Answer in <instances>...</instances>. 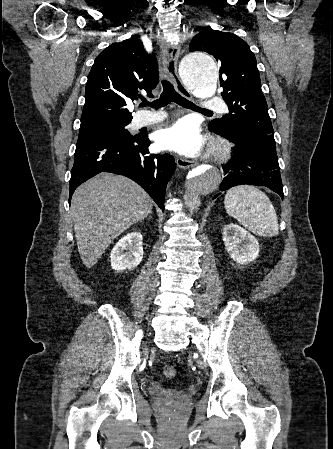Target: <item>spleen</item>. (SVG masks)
I'll list each match as a JSON object with an SVG mask.
<instances>
[{"label": "spleen", "instance_id": "3e777b00", "mask_svg": "<svg viewBox=\"0 0 333 449\" xmlns=\"http://www.w3.org/2000/svg\"><path fill=\"white\" fill-rule=\"evenodd\" d=\"M226 212L251 232L262 236H276L279 231L275 209L267 195L251 185L231 188L225 195Z\"/></svg>", "mask_w": 333, "mask_h": 449}]
</instances>
